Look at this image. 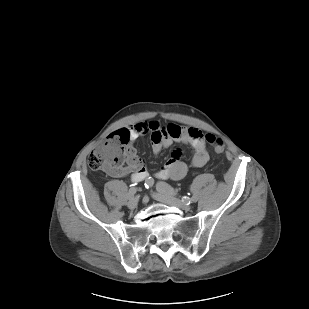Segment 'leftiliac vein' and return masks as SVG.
Segmentation results:
<instances>
[{"label": "left iliac vein", "mask_w": 309, "mask_h": 309, "mask_svg": "<svg viewBox=\"0 0 309 309\" xmlns=\"http://www.w3.org/2000/svg\"><path fill=\"white\" fill-rule=\"evenodd\" d=\"M152 195L156 200L163 202L165 204L176 206V207L181 208L185 211H189L191 209V205L181 201L180 199L172 197V196H170L167 193H164L162 191L153 193Z\"/></svg>", "instance_id": "obj_1"}]
</instances>
